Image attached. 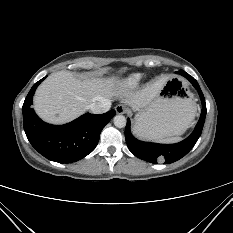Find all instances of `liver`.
Here are the masks:
<instances>
[{
  "instance_id": "obj_1",
  "label": "liver",
  "mask_w": 233,
  "mask_h": 233,
  "mask_svg": "<svg viewBox=\"0 0 233 233\" xmlns=\"http://www.w3.org/2000/svg\"><path fill=\"white\" fill-rule=\"evenodd\" d=\"M167 77L133 92L117 76L108 79H78L70 71L49 75L34 96V109L44 121L64 124L84 114L94 102L116 96L135 111L149 105L163 88Z\"/></svg>"
}]
</instances>
